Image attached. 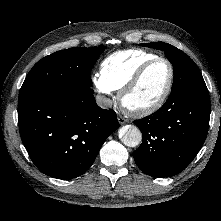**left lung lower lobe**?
Here are the masks:
<instances>
[{
  "label": "left lung lower lobe",
  "mask_w": 221,
  "mask_h": 221,
  "mask_svg": "<svg viewBox=\"0 0 221 221\" xmlns=\"http://www.w3.org/2000/svg\"><path fill=\"white\" fill-rule=\"evenodd\" d=\"M209 119L207 88L171 93L158 111L134 121L143 138L134 151L137 166L154 177H170L183 171L203 145Z\"/></svg>",
  "instance_id": "0a47b994"
}]
</instances>
